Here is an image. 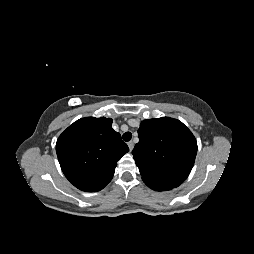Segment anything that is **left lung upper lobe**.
Wrapping results in <instances>:
<instances>
[{"instance_id": "1", "label": "left lung upper lobe", "mask_w": 254, "mask_h": 254, "mask_svg": "<svg viewBox=\"0 0 254 254\" xmlns=\"http://www.w3.org/2000/svg\"><path fill=\"white\" fill-rule=\"evenodd\" d=\"M132 154L144 183L178 187L194 165L197 142L179 120L162 117L143 120Z\"/></svg>"}]
</instances>
